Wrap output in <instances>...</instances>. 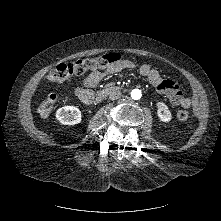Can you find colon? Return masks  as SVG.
I'll use <instances>...</instances> for the list:
<instances>
[{
  "label": "colon",
  "mask_w": 221,
  "mask_h": 221,
  "mask_svg": "<svg viewBox=\"0 0 221 221\" xmlns=\"http://www.w3.org/2000/svg\"><path fill=\"white\" fill-rule=\"evenodd\" d=\"M120 58V55L117 53H108L96 59L80 60L75 63H60L49 72L47 78L50 82H62L71 76L108 68L120 62ZM56 99L55 94L49 95L39 107L40 114L43 116L50 115L53 111ZM177 118L180 121H187L189 119V111L187 109L179 110L177 112Z\"/></svg>",
  "instance_id": "colon-1"
}]
</instances>
